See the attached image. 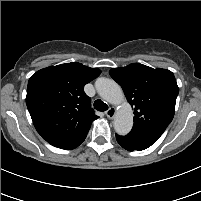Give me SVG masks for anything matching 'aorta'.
<instances>
[{
	"instance_id": "aorta-1",
	"label": "aorta",
	"mask_w": 201,
	"mask_h": 201,
	"mask_svg": "<svg viewBox=\"0 0 201 201\" xmlns=\"http://www.w3.org/2000/svg\"><path fill=\"white\" fill-rule=\"evenodd\" d=\"M95 87L101 98L119 107L114 118L116 133L119 135L128 134L133 127V111L126 101L120 85L112 79L99 78L95 82Z\"/></svg>"
}]
</instances>
